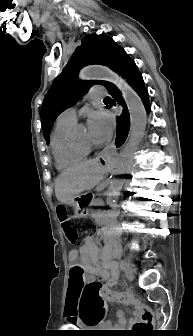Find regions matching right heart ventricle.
<instances>
[{
	"label": "right heart ventricle",
	"mask_w": 193,
	"mask_h": 336,
	"mask_svg": "<svg viewBox=\"0 0 193 336\" xmlns=\"http://www.w3.org/2000/svg\"><path fill=\"white\" fill-rule=\"evenodd\" d=\"M74 124H56L52 134L51 146L56 166L65 169L83 161L89 153V148L69 137Z\"/></svg>",
	"instance_id": "obj_1"
}]
</instances>
